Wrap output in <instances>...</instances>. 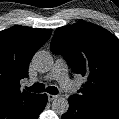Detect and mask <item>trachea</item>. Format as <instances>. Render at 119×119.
Returning a JSON list of instances; mask_svg holds the SVG:
<instances>
[{
	"mask_svg": "<svg viewBox=\"0 0 119 119\" xmlns=\"http://www.w3.org/2000/svg\"><path fill=\"white\" fill-rule=\"evenodd\" d=\"M26 89L31 91V92H38V93L44 92L45 91V85L42 83H35L31 87H26ZM46 92H48L52 95H56V94H58V89L54 86H48L46 88Z\"/></svg>",
	"mask_w": 119,
	"mask_h": 119,
	"instance_id": "obj_1",
	"label": "trachea"
}]
</instances>
